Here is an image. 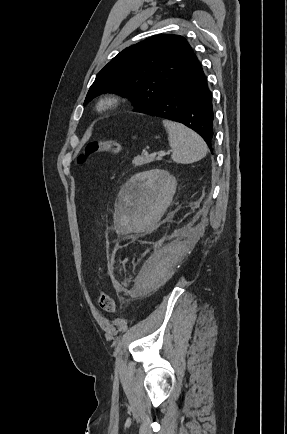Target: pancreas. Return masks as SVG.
I'll list each match as a JSON object with an SVG mask.
<instances>
[{"mask_svg":"<svg viewBox=\"0 0 287 434\" xmlns=\"http://www.w3.org/2000/svg\"><path fill=\"white\" fill-rule=\"evenodd\" d=\"M155 160H158V158H155V156L142 154V155L137 156L133 159V165L135 167L142 166L144 164L151 163Z\"/></svg>","mask_w":287,"mask_h":434,"instance_id":"obj_1","label":"pancreas"}]
</instances>
